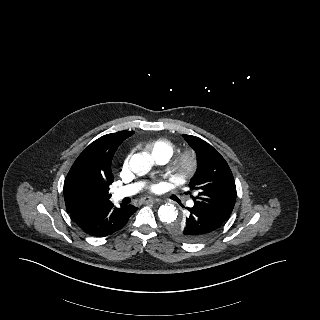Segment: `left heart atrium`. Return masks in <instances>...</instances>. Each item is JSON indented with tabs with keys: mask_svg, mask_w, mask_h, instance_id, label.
<instances>
[{
	"mask_svg": "<svg viewBox=\"0 0 320 320\" xmlns=\"http://www.w3.org/2000/svg\"><path fill=\"white\" fill-rule=\"evenodd\" d=\"M156 188H157L156 186H153V187H152V190H156Z\"/></svg>",
	"mask_w": 320,
	"mask_h": 320,
	"instance_id": "obj_1",
	"label": "left heart atrium"
}]
</instances>
